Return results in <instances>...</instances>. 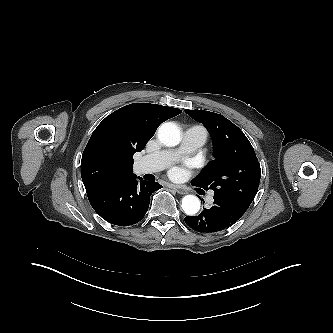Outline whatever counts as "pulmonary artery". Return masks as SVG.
Returning a JSON list of instances; mask_svg holds the SVG:
<instances>
[{
  "instance_id": "obj_1",
  "label": "pulmonary artery",
  "mask_w": 333,
  "mask_h": 333,
  "mask_svg": "<svg viewBox=\"0 0 333 333\" xmlns=\"http://www.w3.org/2000/svg\"><path fill=\"white\" fill-rule=\"evenodd\" d=\"M207 140V131L200 125L187 128L177 149L162 150L142 157L137 163L141 174L155 173L163 170L181 156L191 154L203 146Z\"/></svg>"
}]
</instances>
